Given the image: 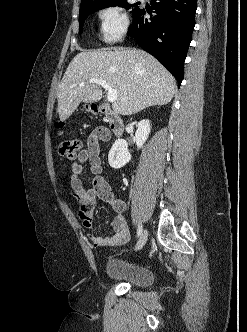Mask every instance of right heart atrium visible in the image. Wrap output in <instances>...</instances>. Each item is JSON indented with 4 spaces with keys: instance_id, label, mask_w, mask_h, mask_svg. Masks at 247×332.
I'll return each instance as SVG.
<instances>
[{
    "instance_id": "obj_1",
    "label": "right heart atrium",
    "mask_w": 247,
    "mask_h": 332,
    "mask_svg": "<svg viewBox=\"0 0 247 332\" xmlns=\"http://www.w3.org/2000/svg\"><path fill=\"white\" fill-rule=\"evenodd\" d=\"M100 33L106 43L120 41L127 33L129 19L123 7L118 4H110L98 12Z\"/></svg>"
}]
</instances>
